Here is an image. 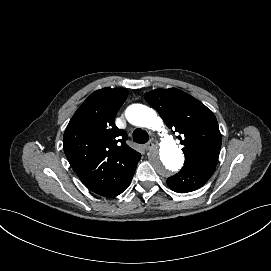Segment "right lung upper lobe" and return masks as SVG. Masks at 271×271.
I'll return each mask as SVG.
<instances>
[{"instance_id":"right-lung-upper-lobe-1","label":"right lung upper lobe","mask_w":271,"mask_h":271,"mask_svg":"<svg viewBox=\"0 0 271 271\" xmlns=\"http://www.w3.org/2000/svg\"><path fill=\"white\" fill-rule=\"evenodd\" d=\"M128 90L103 88L92 93L66 127L63 145L66 157L81 181L98 193L118 179L141 154L130 148L127 134L115 125V116Z\"/></svg>"}]
</instances>
